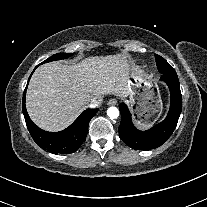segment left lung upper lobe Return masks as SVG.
Returning <instances> with one entry per match:
<instances>
[{
  "mask_svg": "<svg viewBox=\"0 0 207 207\" xmlns=\"http://www.w3.org/2000/svg\"><path fill=\"white\" fill-rule=\"evenodd\" d=\"M157 68L160 73H166L170 71H174V68L161 56L155 55Z\"/></svg>",
  "mask_w": 207,
  "mask_h": 207,
  "instance_id": "5c2ea615",
  "label": "left lung upper lobe"
}]
</instances>
